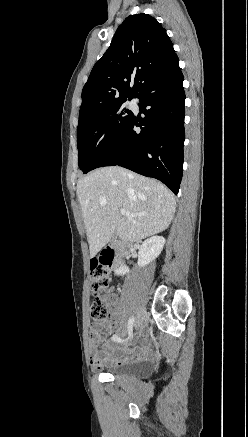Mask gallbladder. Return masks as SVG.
<instances>
[{
    "instance_id": "obj_1",
    "label": "gallbladder",
    "mask_w": 248,
    "mask_h": 437,
    "mask_svg": "<svg viewBox=\"0 0 248 437\" xmlns=\"http://www.w3.org/2000/svg\"><path fill=\"white\" fill-rule=\"evenodd\" d=\"M116 237H117V236L115 235V236L113 237V239H112V240H115V239H116Z\"/></svg>"
}]
</instances>
